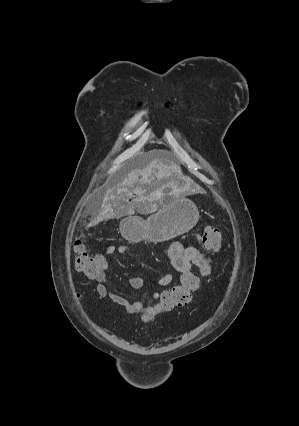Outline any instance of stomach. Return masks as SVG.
<instances>
[{
    "label": "stomach",
    "instance_id": "1",
    "mask_svg": "<svg viewBox=\"0 0 299 426\" xmlns=\"http://www.w3.org/2000/svg\"><path fill=\"white\" fill-rule=\"evenodd\" d=\"M199 211L193 201L185 197L173 199L147 219L130 216L122 220V235L131 242L142 240L160 243L191 230L199 220Z\"/></svg>",
    "mask_w": 299,
    "mask_h": 426
}]
</instances>
